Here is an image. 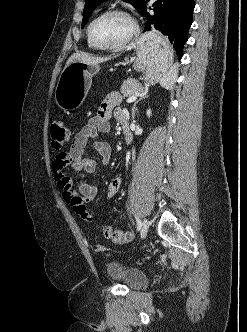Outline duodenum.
I'll return each instance as SVG.
<instances>
[{
  "label": "duodenum",
  "mask_w": 247,
  "mask_h": 332,
  "mask_svg": "<svg viewBox=\"0 0 247 332\" xmlns=\"http://www.w3.org/2000/svg\"><path fill=\"white\" fill-rule=\"evenodd\" d=\"M120 125L122 127L123 130V135H124V140L126 142V144H129L131 142V133L128 127V123H127V119L126 117H121L119 119Z\"/></svg>",
  "instance_id": "obj_1"
}]
</instances>
